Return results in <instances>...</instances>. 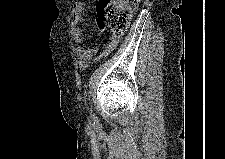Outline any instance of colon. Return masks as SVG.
Wrapping results in <instances>:
<instances>
[{"instance_id":"obj_1","label":"colon","mask_w":225,"mask_h":159,"mask_svg":"<svg viewBox=\"0 0 225 159\" xmlns=\"http://www.w3.org/2000/svg\"><path fill=\"white\" fill-rule=\"evenodd\" d=\"M139 0H100L99 24L108 27L113 37L121 38L128 29Z\"/></svg>"}]
</instances>
